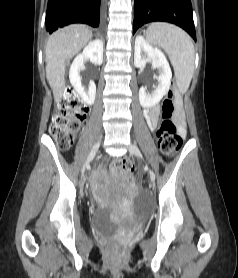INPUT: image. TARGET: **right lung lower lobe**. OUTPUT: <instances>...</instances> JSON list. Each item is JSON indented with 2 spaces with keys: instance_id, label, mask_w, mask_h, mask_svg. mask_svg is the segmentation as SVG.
I'll return each mask as SVG.
<instances>
[{
  "instance_id": "1",
  "label": "right lung lower lobe",
  "mask_w": 238,
  "mask_h": 278,
  "mask_svg": "<svg viewBox=\"0 0 238 278\" xmlns=\"http://www.w3.org/2000/svg\"><path fill=\"white\" fill-rule=\"evenodd\" d=\"M104 0H48L46 29L49 33L72 23L99 26Z\"/></svg>"
}]
</instances>
